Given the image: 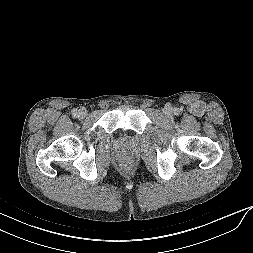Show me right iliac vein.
<instances>
[{
	"instance_id": "obj_1",
	"label": "right iliac vein",
	"mask_w": 253,
	"mask_h": 253,
	"mask_svg": "<svg viewBox=\"0 0 253 253\" xmlns=\"http://www.w3.org/2000/svg\"><path fill=\"white\" fill-rule=\"evenodd\" d=\"M87 115V111L85 109H80L77 112V116L81 119L85 118Z\"/></svg>"
}]
</instances>
